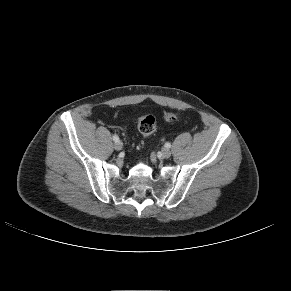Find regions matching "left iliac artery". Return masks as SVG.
<instances>
[{
	"mask_svg": "<svg viewBox=\"0 0 291 291\" xmlns=\"http://www.w3.org/2000/svg\"><path fill=\"white\" fill-rule=\"evenodd\" d=\"M165 147L166 148H170L171 147V144L167 142V143H165Z\"/></svg>",
	"mask_w": 291,
	"mask_h": 291,
	"instance_id": "44dca946",
	"label": "left iliac artery"
}]
</instances>
